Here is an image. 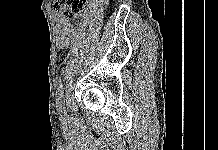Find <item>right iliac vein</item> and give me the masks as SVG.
<instances>
[{
  "label": "right iliac vein",
  "instance_id": "right-iliac-vein-1",
  "mask_svg": "<svg viewBox=\"0 0 218 150\" xmlns=\"http://www.w3.org/2000/svg\"><path fill=\"white\" fill-rule=\"evenodd\" d=\"M60 115L63 116L64 115V110H60Z\"/></svg>",
  "mask_w": 218,
  "mask_h": 150
}]
</instances>
